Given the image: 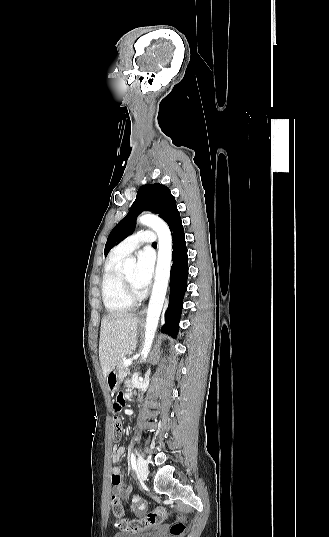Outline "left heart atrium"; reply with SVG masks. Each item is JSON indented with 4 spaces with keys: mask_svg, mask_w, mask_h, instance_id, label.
I'll list each match as a JSON object with an SVG mask.
<instances>
[{
    "mask_svg": "<svg viewBox=\"0 0 329 537\" xmlns=\"http://www.w3.org/2000/svg\"><path fill=\"white\" fill-rule=\"evenodd\" d=\"M154 268V259L150 252L142 250L137 255L135 268V285L139 292H144L151 281Z\"/></svg>",
    "mask_w": 329,
    "mask_h": 537,
    "instance_id": "obj_1",
    "label": "left heart atrium"
}]
</instances>
